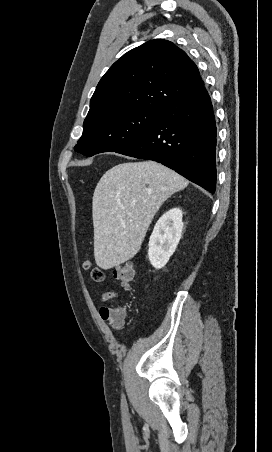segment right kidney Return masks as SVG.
<instances>
[{
    "mask_svg": "<svg viewBox=\"0 0 272 452\" xmlns=\"http://www.w3.org/2000/svg\"><path fill=\"white\" fill-rule=\"evenodd\" d=\"M183 230L182 211L173 208L157 221L148 244V257L156 269L163 268L176 250Z\"/></svg>",
    "mask_w": 272,
    "mask_h": 452,
    "instance_id": "right-kidney-1",
    "label": "right kidney"
}]
</instances>
